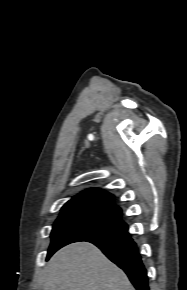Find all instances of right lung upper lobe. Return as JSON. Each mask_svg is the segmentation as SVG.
I'll return each instance as SVG.
<instances>
[{"label":"right lung upper lobe","mask_w":187,"mask_h":290,"mask_svg":"<svg viewBox=\"0 0 187 290\" xmlns=\"http://www.w3.org/2000/svg\"><path fill=\"white\" fill-rule=\"evenodd\" d=\"M113 195L98 189H88L74 196L61 209L98 208L111 211L121 217V209L113 202Z\"/></svg>","instance_id":"right-lung-upper-lobe-1"}]
</instances>
